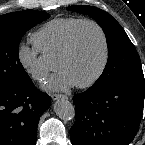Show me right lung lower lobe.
Listing matches in <instances>:
<instances>
[{
    "mask_svg": "<svg viewBox=\"0 0 145 145\" xmlns=\"http://www.w3.org/2000/svg\"><path fill=\"white\" fill-rule=\"evenodd\" d=\"M50 103L30 78L21 86L0 88V145H35L38 121Z\"/></svg>",
    "mask_w": 145,
    "mask_h": 145,
    "instance_id": "obj_1",
    "label": "right lung lower lobe"
}]
</instances>
